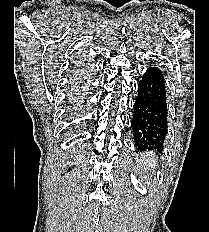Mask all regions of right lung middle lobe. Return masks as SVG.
<instances>
[{
    "label": "right lung middle lobe",
    "instance_id": "dd1d6c3e",
    "mask_svg": "<svg viewBox=\"0 0 209 232\" xmlns=\"http://www.w3.org/2000/svg\"><path fill=\"white\" fill-rule=\"evenodd\" d=\"M75 93L76 91L74 89H71L70 91L71 99H73L76 96Z\"/></svg>",
    "mask_w": 209,
    "mask_h": 232
}]
</instances>
